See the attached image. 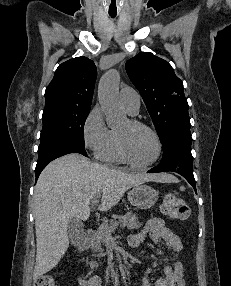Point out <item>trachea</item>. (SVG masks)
Wrapping results in <instances>:
<instances>
[{
    "mask_svg": "<svg viewBox=\"0 0 231 286\" xmlns=\"http://www.w3.org/2000/svg\"><path fill=\"white\" fill-rule=\"evenodd\" d=\"M109 15H110L112 18L116 17V14L110 13Z\"/></svg>",
    "mask_w": 231,
    "mask_h": 286,
    "instance_id": "trachea-1",
    "label": "trachea"
}]
</instances>
